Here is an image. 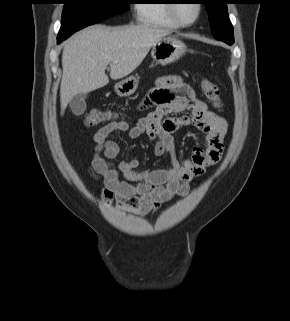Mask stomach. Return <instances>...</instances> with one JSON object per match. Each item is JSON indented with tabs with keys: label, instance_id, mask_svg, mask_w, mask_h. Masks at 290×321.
I'll return each instance as SVG.
<instances>
[{
	"label": "stomach",
	"instance_id": "stomach-1",
	"mask_svg": "<svg viewBox=\"0 0 290 321\" xmlns=\"http://www.w3.org/2000/svg\"><path fill=\"white\" fill-rule=\"evenodd\" d=\"M186 52V45L176 36L168 35L159 39L152 47L151 56L153 60L161 65H167L177 61ZM138 86V80L134 76H130L115 84V92L120 97L132 95Z\"/></svg>",
	"mask_w": 290,
	"mask_h": 321
}]
</instances>
